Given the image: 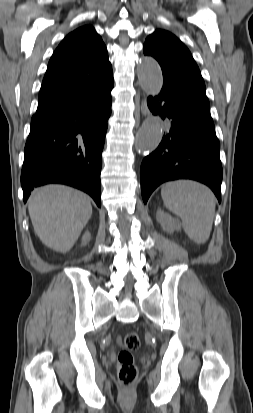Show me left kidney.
Listing matches in <instances>:
<instances>
[{
  "mask_svg": "<svg viewBox=\"0 0 253 413\" xmlns=\"http://www.w3.org/2000/svg\"><path fill=\"white\" fill-rule=\"evenodd\" d=\"M157 221L160 223L162 229L167 233H173L181 229V225L177 220L172 218L168 213L163 212L162 210H157L156 213Z\"/></svg>",
  "mask_w": 253,
  "mask_h": 413,
  "instance_id": "1",
  "label": "left kidney"
}]
</instances>
